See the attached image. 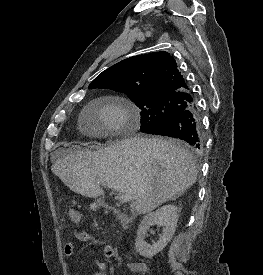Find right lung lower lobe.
I'll list each match as a JSON object with an SVG mask.
<instances>
[{
  "label": "right lung lower lobe",
  "instance_id": "1",
  "mask_svg": "<svg viewBox=\"0 0 263 275\" xmlns=\"http://www.w3.org/2000/svg\"><path fill=\"white\" fill-rule=\"evenodd\" d=\"M146 133L181 139L196 151L203 147L202 124L195 105Z\"/></svg>",
  "mask_w": 263,
  "mask_h": 275
}]
</instances>
